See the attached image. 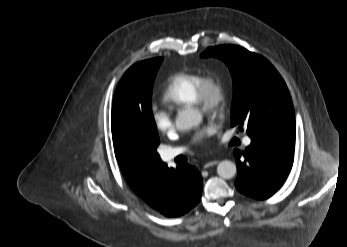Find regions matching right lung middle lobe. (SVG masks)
<instances>
[{
    "mask_svg": "<svg viewBox=\"0 0 347 247\" xmlns=\"http://www.w3.org/2000/svg\"><path fill=\"white\" fill-rule=\"evenodd\" d=\"M163 58L134 64L119 82L112 105L113 139L141 154L158 158L160 143L152 114V89Z\"/></svg>",
    "mask_w": 347,
    "mask_h": 247,
    "instance_id": "obj_1",
    "label": "right lung middle lobe"
}]
</instances>
